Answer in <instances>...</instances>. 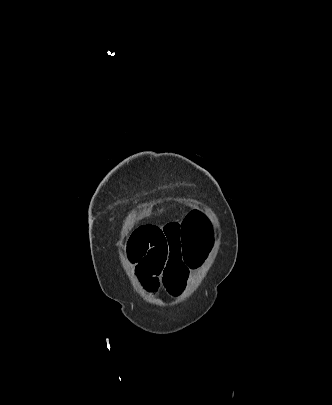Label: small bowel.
Listing matches in <instances>:
<instances>
[{
    "mask_svg": "<svg viewBox=\"0 0 332 405\" xmlns=\"http://www.w3.org/2000/svg\"><path fill=\"white\" fill-rule=\"evenodd\" d=\"M182 229L179 222L138 227L125 245V255L137 276L136 285L150 299L172 296L185 288L191 262H181Z\"/></svg>",
    "mask_w": 332,
    "mask_h": 405,
    "instance_id": "obj_1",
    "label": "small bowel"
}]
</instances>
